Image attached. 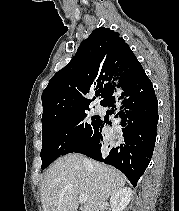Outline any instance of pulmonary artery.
Here are the masks:
<instances>
[{
	"mask_svg": "<svg viewBox=\"0 0 179 211\" xmlns=\"http://www.w3.org/2000/svg\"><path fill=\"white\" fill-rule=\"evenodd\" d=\"M95 109H96L97 112H102V110H103V108L100 105H97L95 107Z\"/></svg>",
	"mask_w": 179,
	"mask_h": 211,
	"instance_id": "pulmonary-artery-1",
	"label": "pulmonary artery"
}]
</instances>
